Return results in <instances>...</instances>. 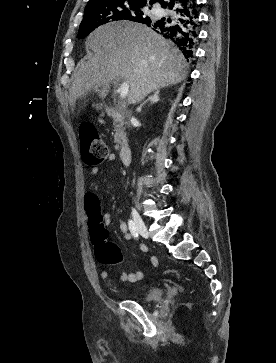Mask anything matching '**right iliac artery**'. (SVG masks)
Returning <instances> with one entry per match:
<instances>
[{
  "label": "right iliac artery",
  "instance_id": "82829eb1",
  "mask_svg": "<svg viewBox=\"0 0 276 363\" xmlns=\"http://www.w3.org/2000/svg\"><path fill=\"white\" fill-rule=\"evenodd\" d=\"M128 226H129V229H130V232H131L132 236L134 238H138V231H137V229L135 227V224H134V222L132 220L128 221Z\"/></svg>",
  "mask_w": 276,
  "mask_h": 363
}]
</instances>
